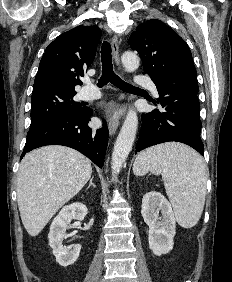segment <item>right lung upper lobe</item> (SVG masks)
<instances>
[{
    "instance_id": "right-lung-upper-lobe-1",
    "label": "right lung upper lobe",
    "mask_w": 232,
    "mask_h": 282,
    "mask_svg": "<svg viewBox=\"0 0 232 282\" xmlns=\"http://www.w3.org/2000/svg\"><path fill=\"white\" fill-rule=\"evenodd\" d=\"M101 30L77 26L58 36L46 48L35 77L33 92L49 89L75 91L78 76L93 62Z\"/></svg>"
}]
</instances>
